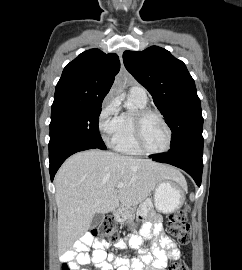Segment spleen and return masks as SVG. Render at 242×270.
Returning <instances> with one entry per match:
<instances>
[{
	"mask_svg": "<svg viewBox=\"0 0 242 270\" xmlns=\"http://www.w3.org/2000/svg\"><path fill=\"white\" fill-rule=\"evenodd\" d=\"M190 199L193 200V194H191Z\"/></svg>",
	"mask_w": 242,
	"mask_h": 270,
	"instance_id": "3e777b00",
	"label": "spleen"
}]
</instances>
